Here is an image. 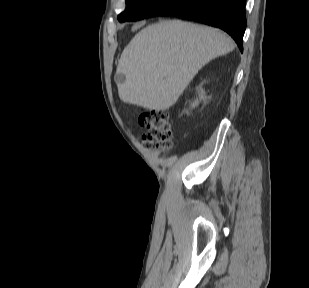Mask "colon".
<instances>
[{
	"mask_svg": "<svg viewBox=\"0 0 309 288\" xmlns=\"http://www.w3.org/2000/svg\"><path fill=\"white\" fill-rule=\"evenodd\" d=\"M141 126L147 129L143 136L146 148L167 152L171 149L174 132L168 111L164 109L143 110L138 116Z\"/></svg>",
	"mask_w": 309,
	"mask_h": 288,
	"instance_id": "1",
	"label": "colon"
}]
</instances>
